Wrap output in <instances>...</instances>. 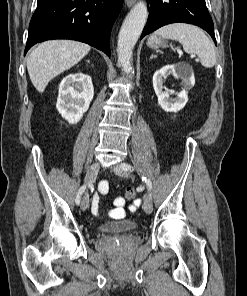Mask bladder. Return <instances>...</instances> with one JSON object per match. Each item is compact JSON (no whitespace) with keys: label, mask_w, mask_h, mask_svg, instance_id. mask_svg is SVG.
Masks as SVG:
<instances>
[{"label":"bladder","mask_w":247,"mask_h":296,"mask_svg":"<svg viewBox=\"0 0 247 296\" xmlns=\"http://www.w3.org/2000/svg\"><path fill=\"white\" fill-rule=\"evenodd\" d=\"M138 228V224L132 220H121L108 222L100 226V232L104 234H123L134 231Z\"/></svg>","instance_id":"bladder-1"}]
</instances>
